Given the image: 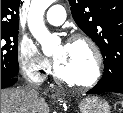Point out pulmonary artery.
<instances>
[{
    "label": "pulmonary artery",
    "mask_w": 123,
    "mask_h": 113,
    "mask_svg": "<svg viewBox=\"0 0 123 113\" xmlns=\"http://www.w3.org/2000/svg\"><path fill=\"white\" fill-rule=\"evenodd\" d=\"M66 19V12L61 5H52L46 13V20L52 25H60Z\"/></svg>",
    "instance_id": "pulmonary-artery-1"
}]
</instances>
